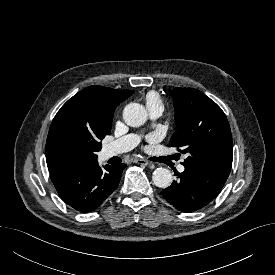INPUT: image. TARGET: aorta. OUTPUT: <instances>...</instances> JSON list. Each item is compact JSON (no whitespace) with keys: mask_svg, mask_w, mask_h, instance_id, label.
Here are the masks:
<instances>
[{"mask_svg":"<svg viewBox=\"0 0 275 275\" xmlns=\"http://www.w3.org/2000/svg\"><path fill=\"white\" fill-rule=\"evenodd\" d=\"M147 111L139 103H129L123 110V119L131 127L142 126L147 120ZM153 183L159 188H167L172 183V173L167 168H157L152 175Z\"/></svg>","mask_w":275,"mask_h":275,"instance_id":"762f6f07","label":"aorta"}]
</instances>
